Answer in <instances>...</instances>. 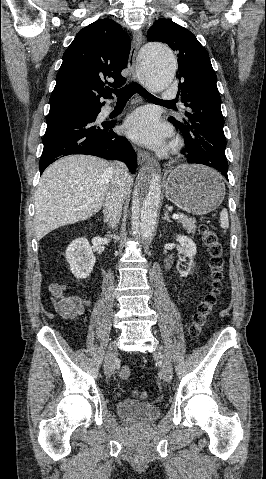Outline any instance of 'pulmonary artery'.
<instances>
[{
    "mask_svg": "<svg viewBox=\"0 0 266 479\" xmlns=\"http://www.w3.org/2000/svg\"><path fill=\"white\" fill-rule=\"evenodd\" d=\"M177 93V89L173 87H166L162 92V98L165 100L174 99Z\"/></svg>",
    "mask_w": 266,
    "mask_h": 479,
    "instance_id": "pulmonary-artery-1",
    "label": "pulmonary artery"
}]
</instances>
